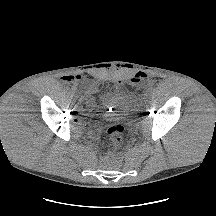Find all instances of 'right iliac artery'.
Segmentation results:
<instances>
[{
  "label": "right iliac artery",
  "mask_w": 216,
  "mask_h": 216,
  "mask_svg": "<svg viewBox=\"0 0 216 216\" xmlns=\"http://www.w3.org/2000/svg\"><path fill=\"white\" fill-rule=\"evenodd\" d=\"M76 91H75V88H70V93H75Z\"/></svg>",
  "instance_id": "1"
}]
</instances>
